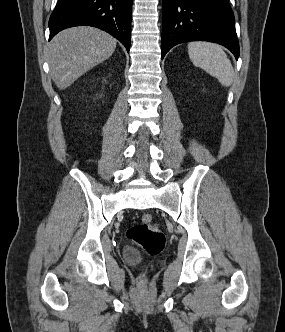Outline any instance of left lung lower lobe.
Instances as JSON below:
<instances>
[{"mask_svg":"<svg viewBox=\"0 0 285 332\" xmlns=\"http://www.w3.org/2000/svg\"><path fill=\"white\" fill-rule=\"evenodd\" d=\"M195 40L221 44L238 59L229 0H162V59L173 46Z\"/></svg>","mask_w":285,"mask_h":332,"instance_id":"obj_1","label":"left lung lower lobe"}]
</instances>
